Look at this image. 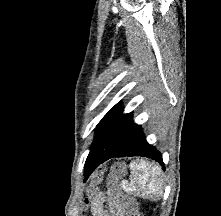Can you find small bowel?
<instances>
[{"label":"small bowel","mask_w":221,"mask_h":216,"mask_svg":"<svg viewBox=\"0 0 221 216\" xmlns=\"http://www.w3.org/2000/svg\"><path fill=\"white\" fill-rule=\"evenodd\" d=\"M104 204H107L108 209L104 208ZM92 211L95 216H122L117 205L107 193L99 194L98 201L92 204Z\"/></svg>","instance_id":"1"}]
</instances>
